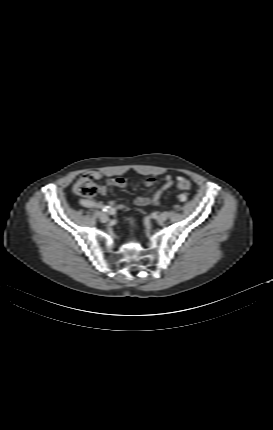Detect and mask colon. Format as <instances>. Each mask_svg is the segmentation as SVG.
<instances>
[{"instance_id": "1", "label": "colon", "mask_w": 273, "mask_h": 430, "mask_svg": "<svg viewBox=\"0 0 273 430\" xmlns=\"http://www.w3.org/2000/svg\"><path fill=\"white\" fill-rule=\"evenodd\" d=\"M93 177L87 173L83 174L74 184L73 192L80 197L90 198L97 194L98 186L94 181ZM191 188V183L188 181H181L178 185V189L187 191ZM186 198L184 194H180L178 199Z\"/></svg>"}]
</instances>
